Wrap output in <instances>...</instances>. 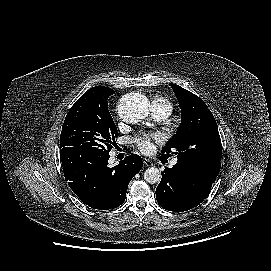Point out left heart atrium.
<instances>
[{
	"mask_svg": "<svg viewBox=\"0 0 271 271\" xmlns=\"http://www.w3.org/2000/svg\"><path fill=\"white\" fill-rule=\"evenodd\" d=\"M160 137L157 134H144L137 138V146L143 153H150L153 150V141H159Z\"/></svg>",
	"mask_w": 271,
	"mask_h": 271,
	"instance_id": "39dd6f15",
	"label": "left heart atrium"
}]
</instances>
